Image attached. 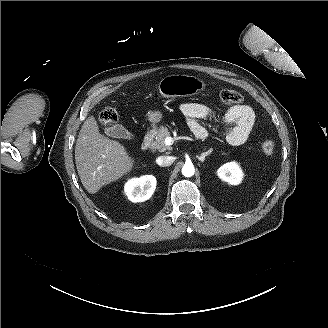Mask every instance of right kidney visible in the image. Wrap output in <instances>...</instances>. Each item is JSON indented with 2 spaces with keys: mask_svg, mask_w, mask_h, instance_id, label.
I'll return each instance as SVG.
<instances>
[{
  "mask_svg": "<svg viewBox=\"0 0 328 328\" xmlns=\"http://www.w3.org/2000/svg\"><path fill=\"white\" fill-rule=\"evenodd\" d=\"M156 189V179L153 176H144L140 179L130 180L126 186V194L132 202L148 200Z\"/></svg>",
  "mask_w": 328,
  "mask_h": 328,
  "instance_id": "1",
  "label": "right kidney"
}]
</instances>
